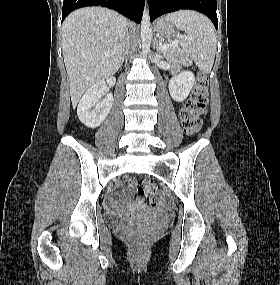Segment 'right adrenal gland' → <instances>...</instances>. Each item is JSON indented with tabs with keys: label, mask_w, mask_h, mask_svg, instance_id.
<instances>
[{
	"label": "right adrenal gland",
	"mask_w": 280,
	"mask_h": 285,
	"mask_svg": "<svg viewBox=\"0 0 280 285\" xmlns=\"http://www.w3.org/2000/svg\"><path fill=\"white\" fill-rule=\"evenodd\" d=\"M127 52H128V44H127ZM127 52H125V53H124V56L122 57L121 65L123 64V62H124V60H125V57H126Z\"/></svg>",
	"instance_id": "obj_1"
}]
</instances>
